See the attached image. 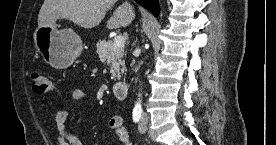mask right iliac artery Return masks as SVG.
<instances>
[{
  "mask_svg": "<svg viewBox=\"0 0 276 145\" xmlns=\"http://www.w3.org/2000/svg\"><path fill=\"white\" fill-rule=\"evenodd\" d=\"M142 116V108L141 107H135L133 109V121L138 122Z\"/></svg>",
  "mask_w": 276,
  "mask_h": 145,
  "instance_id": "right-iliac-artery-1",
  "label": "right iliac artery"
}]
</instances>
